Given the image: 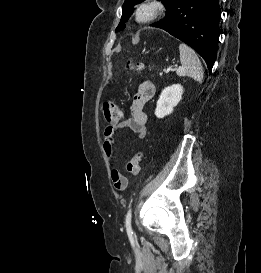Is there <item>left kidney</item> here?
Returning a JSON list of instances; mask_svg holds the SVG:
<instances>
[{
	"label": "left kidney",
	"instance_id": "5707ae66",
	"mask_svg": "<svg viewBox=\"0 0 261 273\" xmlns=\"http://www.w3.org/2000/svg\"><path fill=\"white\" fill-rule=\"evenodd\" d=\"M183 87L180 84H174L166 87L160 94L155 109L157 118H164L173 112V108L182 99Z\"/></svg>",
	"mask_w": 261,
	"mask_h": 273
}]
</instances>
